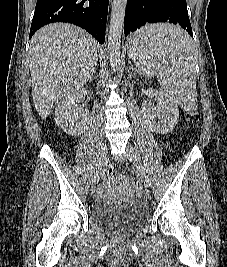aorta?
I'll list each match as a JSON object with an SVG mask.
<instances>
[{"instance_id": "obj_1", "label": "aorta", "mask_w": 227, "mask_h": 267, "mask_svg": "<svg viewBox=\"0 0 227 267\" xmlns=\"http://www.w3.org/2000/svg\"><path fill=\"white\" fill-rule=\"evenodd\" d=\"M127 0H113L108 34V52L110 65L114 71L120 62L121 35L124 24Z\"/></svg>"}]
</instances>
